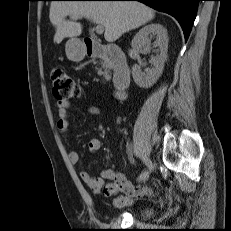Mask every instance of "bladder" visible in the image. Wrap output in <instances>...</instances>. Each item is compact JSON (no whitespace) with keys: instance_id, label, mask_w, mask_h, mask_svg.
<instances>
[{"instance_id":"31cf9c89","label":"bladder","mask_w":231,"mask_h":231,"mask_svg":"<svg viewBox=\"0 0 231 231\" xmlns=\"http://www.w3.org/2000/svg\"><path fill=\"white\" fill-rule=\"evenodd\" d=\"M154 212H155V209L153 207L146 206V207L141 208L138 211V216L139 217H147V216L152 215Z\"/></svg>"}]
</instances>
